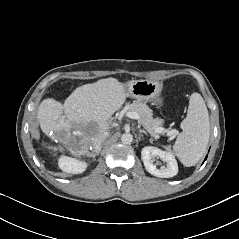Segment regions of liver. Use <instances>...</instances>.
<instances>
[{"mask_svg":"<svg viewBox=\"0 0 239 239\" xmlns=\"http://www.w3.org/2000/svg\"><path fill=\"white\" fill-rule=\"evenodd\" d=\"M127 96L125 85L117 79H101L76 88L63 105L52 98L44 99L38 107L37 118L43 133L52 140L64 141L71 130L74 135L83 136L84 145L77 152L79 155L86 154L90 145L99 152L95 140L109 129L110 118ZM89 123L95 128L88 136L84 127Z\"/></svg>","mask_w":239,"mask_h":239,"instance_id":"obj_1","label":"liver"}]
</instances>
